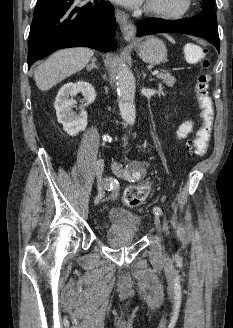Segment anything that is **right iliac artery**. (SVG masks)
Returning a JSON list of instances; mask_svg holds the SVG:
<instances>
[{"mask_svg": "<svg viewBox=\"0 0 233 328\" xmlns=\"http://www.w3.org/2000/svg\"><path fill=\"white\" fill-rule=\"evenodd\" d=\"M107 189L109 191H112L111 197L115 198L118 195V189H119V184L118 181L116 180H110L108 185H107Z\"/></svg>", "mask_w": 233, "mask_h": 328, "instance_id": "82829eb1", "label": "right iliac artery"}]
</instances>
